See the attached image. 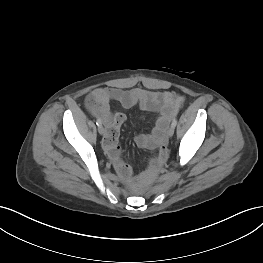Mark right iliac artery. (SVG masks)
Returning a JSON list of instances; mask_svg holds the SVG:
<instances>
[{
    "label": "right iliac artery",
    "instance_id": "right-iliac-artery-1",
    "mask_svg": "<svg viewBox=\"0 0 263 263\" xmlns=\"http://www.w3.org/2000/svg\"><path fill=\"white\" fill-rule=\"evenodd\" d=\"M96 124H97V126H101L102 125V121L100 119H97Z\"/></svg>",
    "mask_w": 263,
    "mask_h": 263
}]
</instances>
